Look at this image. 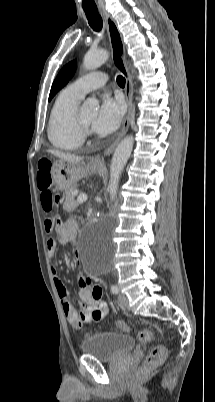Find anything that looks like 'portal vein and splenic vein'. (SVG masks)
<instances>
[{"instance_id":"1","label":"portal vein and splenic vein","mask_w":215,"mask_h":402,"mask_svg":"<svg viewBox=\"0 0 215 402\" xmlns=\"http://www.w3.org/2000/svg\"><path fill=\"white\" fill-rule=\"evenodd\" d=\"M73 194H74V195L77 194V191H75ZM86 200H87V195H86V194H80V195L78 196V198H77V202H78V203H83V202H85Z\"/></svg>"}]
</instances>
